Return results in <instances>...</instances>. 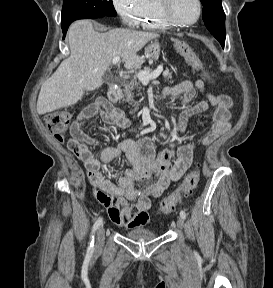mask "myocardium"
I'll use <instances>...</instances> for the list:
<instances>
[{"instance_id":"1","label":"myocardium","mask_w":273,"mask_h":288,"mask_svg":"<svg viewBox=\"0 0 273 288\" xmlns=\"http://www.w3.org/2000/svg\"><path fill=\"white\" fill-rule=\"evenodd\" d=\"M156 2H157V8H158L161 18L167 24L174 26V27H179V28L190 27L199 20L202 14V2L201 0H196V3H197L196 17L193 20L188 21V22H180L174 19V17L171 14L170 7H171L172 0H156Z\"/></svg>"}]
</instances>
